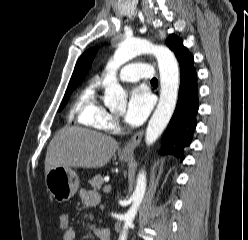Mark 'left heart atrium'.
Wrapping results in <instances>:
<instances>
[{
    "label": "left heart atrium",
    "mask_w": 248,
    "mask_h": 240,
    "mask_svg": "<svg viewBox=\"0 0 248 240\" xmlns=\"http://www.w3.org/2000/svg\"><path fill=\"white\" fill-rule=\"evenodd\" d=\"M153 107V99L145 87H135L130 91L125 121L131 126L142 124Z\"/></svg>",
    "instance_id": "39dd6f15"
}]
</instances>
